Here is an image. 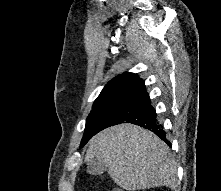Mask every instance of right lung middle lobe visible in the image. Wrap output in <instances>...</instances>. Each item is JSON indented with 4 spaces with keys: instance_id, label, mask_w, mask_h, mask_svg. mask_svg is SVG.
Instances as JSON below:
<instances>
[{
    "instance_id": "obj_1",
    "label": "right lung middle lobe",
    "mask_w": 221,
    "mask_h": 191,
    "mask_svg": "<svg viewBox=\"0 0 221 191\" xmlns=\"http://www.w3.org/2000/svg\"><path fill=\"white\" fill-rule=\"evenodd\" d=\"M118 102L116 100L93 105L92 110L87 117L85 132L80 147H83L92 136L100 131L101 124L113 105Z\"/></svg>"
}]
</instances>
